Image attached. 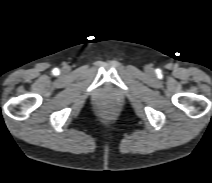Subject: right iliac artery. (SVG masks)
<instances>
[{"label": "right iliac artery", "instance_id": "1", "mask_svg": "<svg viewBox=\"0 0 212 183\" xmlns=\"http://www.w3.org/2000/svg\"><path fill=\"white\" fill-rule=\"evenodd\" d=\"M53 73H54L55 75L58 74V73H59V69L55 68V69L53 70Z\"/></svg>", "mask_w": 212, "mask_h": 183}]
</instances>
